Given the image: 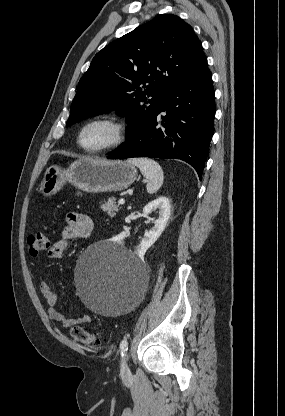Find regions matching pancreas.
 <instances>
[{
	"label": "pancreas",
	"instance_id": "obj_1",
	"mask_svg": "<svg viewBox=\"0 0 285 416\" xmlns=\"http://www.w3.org/2000/svg\"><path fill=\"white\" fill-rule=\"evenodd\" d=\"M101 210H103V212H107L108 216H111V218H114V216H116V212H119V206H116V198H110L108 202L102 204Z\"/></svg>",
	"mask_w": 285,
	"mask_h": 416
}]
</instances>
